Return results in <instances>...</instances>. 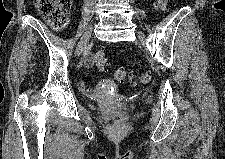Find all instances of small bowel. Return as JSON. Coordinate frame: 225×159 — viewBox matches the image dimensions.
<instances>
[{
  "instance_id": "1",
  "label": "small bowel",
  "mask_w": 225,
  "mask_h": 159,
  "mask_svg": "<svg viewBox=\"0 0 225 159\" xmlns=\"http://www.w3.org/2000/svg\"><path fill=\"white\" fill-rule=\"evenodd\" d=\"M93 64H94L93 57H92L91 54H88V55L85 57L84 65L87 66V67H90V66H92ZM103 83H107V81H106V80H105V81L103 80ZM77 86L79 87L80 90L86 91V92L91 93V94L94 93V92L97 90V87L88 89V88L86 87L85 83H84L83 81H81V80H79V81L77 82Z\"/></svg>"
}]
</instances>
